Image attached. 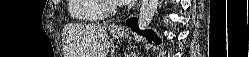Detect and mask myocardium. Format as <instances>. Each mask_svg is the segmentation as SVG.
<instances>
[{"mask_svg":"<svg viewBox=\"0 0 249 57\" xmlns=\"http://www.w3.org/2000/svg\"><path fill=\"white\" fill-rule=\"evenodd\" d=\"M102 8L106 15H110L119 12L120 5L114 0H102Z\"/></svg>","mask_w":249,"mask_h":57,"instance_id":"myocardium-1","label":"myocardium"}]
</instances>
